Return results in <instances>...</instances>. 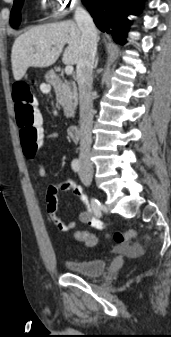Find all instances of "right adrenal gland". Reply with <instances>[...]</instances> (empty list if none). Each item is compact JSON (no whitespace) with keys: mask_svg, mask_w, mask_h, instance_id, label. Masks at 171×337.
Listing matches in <instances>:
<instances>
[{"mask_svg":"<svg viewBox=\"0 0 171 337\" xmlns=\"http://www.w3.org/2000/svg\"><path fill=\"white\" fill-rule=\"evenodd\" d=\"M98 65V57L96 58V61H95V68L97 67Z\"/></svg>","mask_w":171,"mask_h":337,"instance_id":"obj_1","label":"right adrenal gland"}]
</instances>
